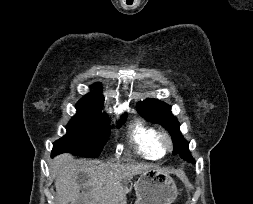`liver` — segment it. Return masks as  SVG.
I'll return each mask as SVG.
<instances>
[{
  "label": "liver",
  "instance_id": "1",
  "mask_svg": "<svg viewBox=\"0 0 253 204\" xmlns=\"http://www.w3.org/2000/svg\"><path fill=\"white\" fill-rule=\"evenodd\" d=\"M147 168L148 165L133 161L100 163L59 155L50 163L55 204H124L122 181Z\"/></svg>",
  "mask_w": 253,
  "mask_h": 204
}]
</instances>
